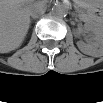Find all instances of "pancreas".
I'll list each match as a JSON object with an SVG mask.
<instances>
[{
  "label": "pancreas",
  "mask_w": 103,
  "mask_h": 103,
  "mask_svg": "<svg viewBox=\"0 0 103 103\" xmlns=\"http://www.w3.org/2000/svg\"><path fill=\"white\" fill-rule=\"evenodd\" d=\"M77 15L80 18V20H82L84 22H88L89 21L88 15H86L82 10H78L77 11Z\"/></svg>",
  "instance_id": "1"
}]
</instances>
